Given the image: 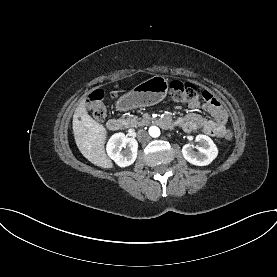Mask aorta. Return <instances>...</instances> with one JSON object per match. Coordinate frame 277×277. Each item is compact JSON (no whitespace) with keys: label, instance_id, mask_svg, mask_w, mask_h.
Segmentation results:
<instances>
[{"label":"aorta","instance_id":"aorta-1","mask_svg":"<svg viewBox=\"0 0 277 277\" xmlns=\"http://www.w3.org/2000/svg\"><path fill=\"white\" fill-rule=\"evenodd\" d=\"M149 134L152 136V137H158L160 136V129L156 126H151L149 128Z\"/></svg>","mask_w":277,"mask_h":277}]
</instances>
